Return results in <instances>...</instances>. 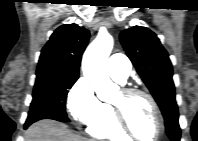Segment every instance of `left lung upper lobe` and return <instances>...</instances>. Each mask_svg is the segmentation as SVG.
Returning <instances> with one entry per match:
<instances>
[{"instance_id":"obj_1","label":"left lung upper lobe","mask_w":198,"mask_h":141,"mask_svg":"<svg viewBox=\"0 0 198 141\" xmlns=\"http://www.w3.org/2000/svg\"><path fill=\"white\" fill-rule=\"evenodd\" d=\"M120 41L138 74L158 103L165 119L166 133L180 140L179 114L172 79V64L154 32L134 26L120 34Z\"/></svg>"}]
</instances>
